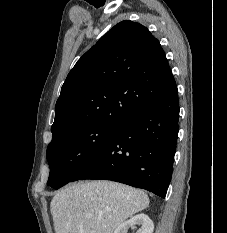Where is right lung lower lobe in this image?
Masks as SVG:
<instances>
[{"mask_svg":"<svg viewBox=\"0 0 227 233\" xmlns=\"http://www.w3.org/2000/svg\"><path fill=\"white\" fill-rule=\"evenodd\" d=\"M175 86L125 119L106 144L70 181L112 180L165 198L178 137Z\"/></svg>","mask_w":227,"mask_h":233,"instance_id":"1","label":"right lung lower lobe"}]
</instances>
